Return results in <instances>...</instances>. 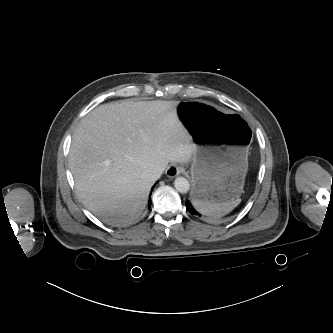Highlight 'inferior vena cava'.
<instances>
[{
  "label": "inferior vena cava",
  "mask_w": 333,
  "mask_h": 333,
  "mask_svg": "<svg viewBox=\"0 0 333 333\" xmlns=\"http://www.w3.org/2000/svg\"><path fill=\"white\" fill-rule=\"evenodd\" d=\"M163 172V169L162 168H156V169H152V170H147L145 173H144V176L145 177H150L152 179H158L161 174Z\"/></svg>",
  "instance_id": "602c4592"
}]
</instances>
